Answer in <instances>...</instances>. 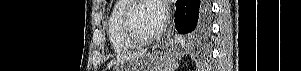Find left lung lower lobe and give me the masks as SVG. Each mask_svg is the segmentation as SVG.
<instances>
[{
    "instance_id": "obj_1",
    "label": "left lung lower lobe",
    "mask_w": 301,
    "mask_h": 71,
    "mask_svg": "<svg viewBox=\"0 0 301 71\" xmlns=\"http://www.w3.org/2000/svg\"><path fill=\"white\" fill-rule=\"evenodd\" d=\"M210 6L209 0H177L175 26L183 43L200 46L208 42Z\"/></svg>"
}]
</instances>
